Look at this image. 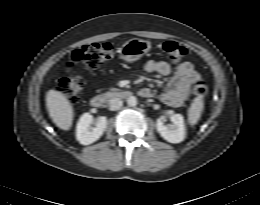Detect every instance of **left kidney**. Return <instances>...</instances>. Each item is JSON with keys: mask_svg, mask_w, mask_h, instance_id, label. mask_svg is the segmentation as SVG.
I'll use <instances>...</instances> for the list:
<instances>
[{"mask_svg": "<svg viewBox=\"0 0 260 205\" xmlns=\"http://www.w3.org/2000/svg\"><path fill=\"white\" fill-rule=\"evenodd\" d=\"M170 119L173 125L167 126L163 123L162 118H159L156 123L157 131L166 141L180 143L186 136L184 118L181 114H173Z\"/></svg>", "mask_w": 260, "mask_h": 205, "instance_id": "1", "label": "left kidney"}]
</instances>
